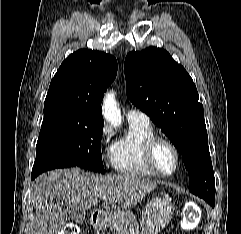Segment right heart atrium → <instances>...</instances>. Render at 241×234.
<instances>
[{
    "mask_svg": "<svg viewBox=\"0 0 241 234\" xmlns=\"http://www.w3.org/2000/svg\"><path fill=\"white\" fill-rule=\"evenodd\" d=\"M112 136V128L105 124L102 126L99 134V141L102 145H106Z\"/></svg>",
    "mask_w": 241,
    "mask_h": 234,
    "instance_id": "1",
    "label": "right heart atrium"
}]
</instances>
